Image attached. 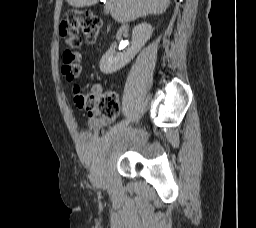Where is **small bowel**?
Wrapping results in <instances>:
<instances>
[{
	"instance_id": "obj_1",
	"label": "small bowel",
	"mask_w": 256,
	"mask_h": 228,
	"mask_svg": "<svg viewBox=\"0 0 256 228\" xmlns=\"http://www.w3.org/2000/svg\"><path fill=\"white\" fill-rule=\"evenodd\" d=\"M92 93L94 95H101L102 93V87L99 84H94L92 86ZM113 121V119H109V118H92L89 121V127L91 130L94 131H100L102 130L105 126H107L108 124H110Z\"/></svg>"
}]
</instances>
